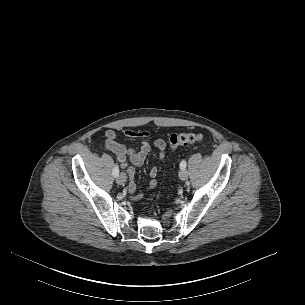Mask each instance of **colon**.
<instances>
[{
	"label": "colon",
	"mask_w": 305,
	"mask_h": 305,
	"mask_svg": "<svg viewBox=\"0 0 305 305\" xmlns=\"http://www.w3.org/2000/svg\"><path fill=\"white\" fill-rule=\"evenodd\" d=\"M204 136L201 133H178L172 134L169 137L170 146L172 149L180 146H186L193 143L203 141Z\"/></svg>",
	"instance_id": "colon-1"
}]
</instances>
